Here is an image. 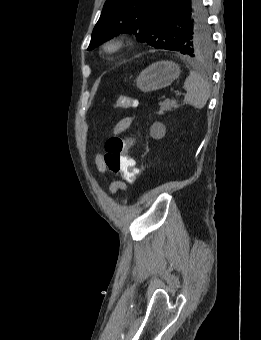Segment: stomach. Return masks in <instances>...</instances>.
I'll list each match as a JSON object with an SVG mask.
<instances>
[{
  "label": "stomach",
  "instance_id": "stomach-1",
  "mask_svg": "<svg viewBox=\"0 0 261 340\" xmlns=\"http://www.w3.org/2000/svg\"><path fill=\"white\" fill-rule=\"evenodd\" d=\"M180 75V67L172 61H159L144 69L136 79V86L151 92L171 85Z\"/></svg>",
  "mask_w": 261,
  "mask_h": 340
}]
</instances>
